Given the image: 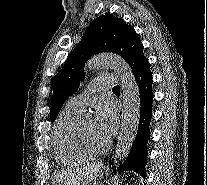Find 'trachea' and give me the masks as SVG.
<instances>
[{
    "label": "trachea",
    "mask_w": 207,
    "mask_h": 185,
    "mask_svg": "<svg viewBox=\"0 0 207 185\" xmlns=\"http://www.w3.org/2000/svg\"><path fill=\"white\" fill-rule=\"evenodd\" d=\"M113 90H120L119 85H116L115 87H113Z\"/></svg>",
    "instance_id": "3493384b"
}]
</instances>
